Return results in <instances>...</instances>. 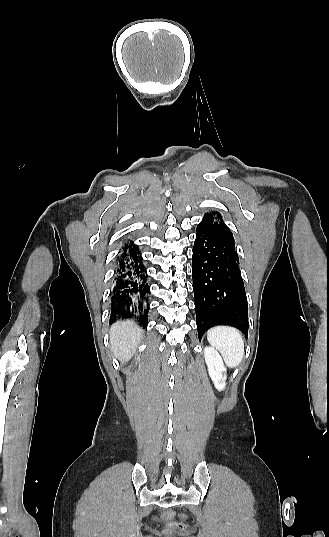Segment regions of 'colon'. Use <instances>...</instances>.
<instances>
[{
  "label": "colon",
  "instance_id": "colon-1",
  "mask_svg": "<svg viewBox=\"0 0 329 537\" xmlns=\"http://www.w3.org/2000/svg\"><path fill=\"white\" fill-rule=\"evenodd\" d=\"M162 516H163V518H165L167 520H170V519L173 518L174 513H173L172 510L167 509V510L163 511ZM168 528L170 530L186 531V530H188L189 526L187 524H184V523L169 522L168 523Z\"/></svg>",
  "mask_w": 329,
  "mask_h": 537
}]
</instances>
